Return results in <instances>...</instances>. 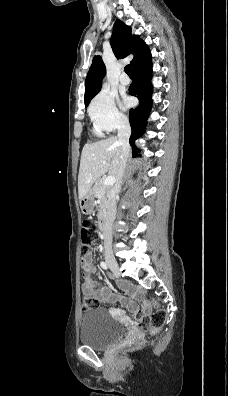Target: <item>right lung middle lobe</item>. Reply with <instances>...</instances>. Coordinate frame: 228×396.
I'll return each mask as SVG.
<instances>
[{
  "label": "right lung middle lobe",
  "instance_id": "right-lung-middle-lobe-1",
  "mask_svg": "<svg viewBox=\"0 0 228 396\" xmlns=\"http://www.w3.org/2000/svg\"><path fill=\"white\" fill-rule=\"evenodd\" d=\"M88 104H89V102H88V103H86V104H85V106L87 107V106H88Z\"/></svg>",
  "mask_w": 228,
  "mask_h": 396
}]
</instances>
